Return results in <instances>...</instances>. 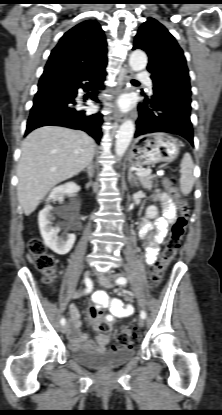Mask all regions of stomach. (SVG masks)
Instances as JSON below:
<instances>
[{
    "mask_svg": "<svg viewBox=\"0 0 222 415\" xmlns=\"http://www.w3.org/2000/svg\"><path fill=\"white\" fill-rule=\"evenodd\" d=\"M180 151L177 139L163 132L149 133L135 139L129 152L132 165L141 167L175 159Z\"/></svg>",
    "mask_w": 222,
    "mask_h": 415,
    "instance_id": "obj_1",
    "label": "stomach"
}]
</instances>
